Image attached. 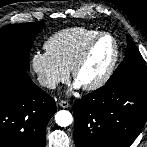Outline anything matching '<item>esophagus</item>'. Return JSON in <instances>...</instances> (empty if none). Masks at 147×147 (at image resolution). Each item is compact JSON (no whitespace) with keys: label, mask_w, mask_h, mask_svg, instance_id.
I'll list each match as a JSON object with an SVG mask.
<instances>
[{"label":"esophagus","mask_w":147,"mask_h":147,"mask_svg":"<svg viewBox=\"0 0 147 147\" xmlns=\"http://www.w3.org/2000/svg\"><path fill=\"white\" fill-rule=\"evenodd\" d=\"M59 106L62 108H68L70 106L69 102L65 101V100H61L59 101Z\"/></svg>","instance_id":"obj_1"}]
</instances>
